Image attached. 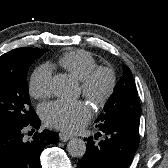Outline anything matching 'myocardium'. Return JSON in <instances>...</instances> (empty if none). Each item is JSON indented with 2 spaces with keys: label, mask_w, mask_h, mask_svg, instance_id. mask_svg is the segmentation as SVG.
Returning <instances> with one entry per match:
<instances>
[{
  "label": "myocardium",
  "mask_w": 168,
  "mask_h": 168,
  "mask_svg": "<svg viewBox=\"0 0 168 168\" xmlns=\"http://www.w3.org/2000/svg\"><path fill=\"white\" fill-rule=\"evenodd\" d=\"M103 86L100 87V83ZM116 88L114 71L105 66H97L81 80V90L95 106H105L113 96Z\"/></svg>",
  "instance_id": "f54148a6"
}]
</instances>
